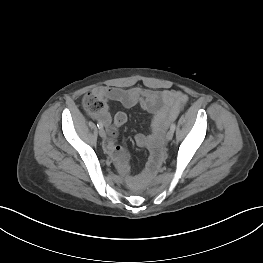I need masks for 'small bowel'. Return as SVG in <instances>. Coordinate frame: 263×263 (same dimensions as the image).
<instances>
[{
  "label": "small bowel",
  "instance_id": "1",
  "mask_svg": "<svg viewBox=\"0 0 263 263\" xmlns=\"http://www.w3.org/2000/svg\"><path fill=\"white\" fill-rule=\"evenodd\" d=\"M92 93L104 101H116L125 108L139 105L142 109L149 112L152 115L151 134H139L136 136L135 142L139 147H147L153 151L160 147L163 134L169 123L178 116L188 100V97L180 91H159L141 87L123 89L100 86L95 88ZM98 118L108 130L107 138L104 141L106 153L113 159L120 174L125 176L129 183H134L137 177L130 176L127 152L116 142L117 129L127 121L126 113L119 111L111 117L105 109Z\"/></svg>",
  "mask_w": 263,
  "mask_h": 263
}]
</instances>
